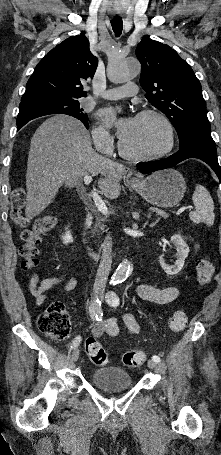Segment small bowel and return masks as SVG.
<instances>
[{
  "label": "small bowel",
  "instance_id": "obj_1",
  "mask_svg": "<svg viewBox=\"0 0 221 455\" xmlns=\"http://www.w3.org/2000/svg\"><path fill=\"white\" fill-rule=\"evenodd\" d=\"M66 280L62 287V292H69L77 286V280L74 277L50 276L39 281L33 278L30 282L29 289L36 299L37 305H42L48 299V291L57 286L60 282ZM137 294L145 301L154 304H168L175 300L179 294L177 287H156L149 284H139ZM123 320L130 334H137L140 331V325L130 313L123 314ZM95 337H100L104 333L109 337H116L119 334V328L115 317L105 318L95 323L92 329Z\"/></svg>",
  "mask_w": 221,
  "mask_h": 455
}]
</instances>
